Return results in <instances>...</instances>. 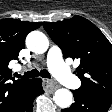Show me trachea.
Here are the masks:
<instances>
[{
	"mask_svg": "<svg viewBox=\"0 0 112 112\" xmlns=\"http://www.w3.org/2000/svg\"><path fill=\"white\" fill-rule=\"evenodd\" d=\"M16 77L18 78H22V79H29V78H35L41 75V77L43 78H51L50 73L47 70H41L38 71L37 69L25 72L24 75H19L17 73L14 74Z\"/></svg>",
	"mask_w": 112,
	"mask_h": 112,
	"instance_id": "trachea-1",
	"label": "trachea"
}]
</instances>
